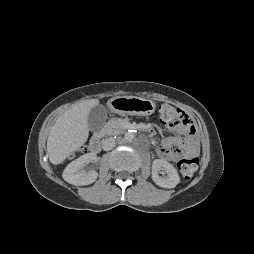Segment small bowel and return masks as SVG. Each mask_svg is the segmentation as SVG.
<instances>
[{"mask_svg":"<svg viewBox=\"0 0 254 254\" xmlns=\"http://www.w3.org/2000/svg\"><path fill=\"white\" fill-rule=\"evenodd\" d=\"M176 131L181 134L168 137L162 140L158 148L160 158L167 161H177L184 153L195 155L198 150L197 141L194 134L189 132L187 126L177 127ZM172 147H175L172 149Z\"/></svg>","mask_w":254,"mask_h":254,"instance_id":"obj_1","label":"small bowel"}]
</instances>
